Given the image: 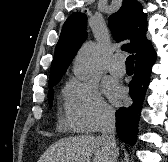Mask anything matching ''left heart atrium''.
<instances>
[{"label":"left heart atrium","instance_id":"1","mask_svg":"<svg viewBox=\"0 0 168 162\" xmlns=\"http://www.w3.org/2000/svg\"><path fill=\"white\" fill-rule=\"evenodd\" d=\"M107 94L116 103H119L124 97L121 88L116 86H111L109 89H107Z\"/></svg>","mask_w":168,"mask_h":162}]
</instances>
